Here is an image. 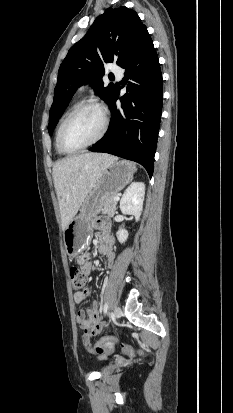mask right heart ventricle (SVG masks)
Masks as SVG:
<instances>
[{"mask_svg": "<svg viewBox=\"0 0 233 413\" xmlns=\"http://www.w3.org/2000/svg\"><path fill=\"white\" fill-rule=\"evenodd\" d=\"M76 105H77V100H73V101L68 105V107L66 108V110H65V112L63 113L62 117H61L60 120H59L57 129H56V134H55V146H56V149H57V151H58L59 153H63V152L61 151V149L59 148V145H58V132H59L60 126H61L62 122L64 121V119L66 118V116L69 114V112H70Z\"/></svg>", "mask_w": 233, "mask_h": 413, "instance_id": "right-heart-ventricle-1", "label": "right heart ventricle"}]
</instances>
